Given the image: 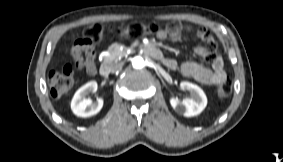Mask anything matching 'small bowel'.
Returning a JSON list of instances; mask_svg holds the SVG:
<instances>
[{
  "label": "small bowel",
  "instance_id": "obj_1",
  "mask_svg": "<svg viewBox=\"0 0 283 162\" xmlns=\"http://www.w3.org/2000/svg\"><path fill=\"white\" fill-rule=\"evenodd\" d=\"M185 27L180 23H171L164 29H160L157 38L161 40L170 39L174 42L185 40ZM196 34L202 40L207 42V46H197L194 53L199 58L211 59V67H206L196 61H186L181 65V73L189 78L205 85H217L226 80L227 74L221 55L216 54L217 44L211 37L206 28H199ZM72 58L78 69H85L87 74L91 76L97 75L96 56L97 52L92 45L85 39L75 41L71 49ZM163 63L170 69L177 67V62L168 57L162 59Z\"/></svg>",
  "mask_w": 283,
  "mask_h": 162
}]
</instances>
